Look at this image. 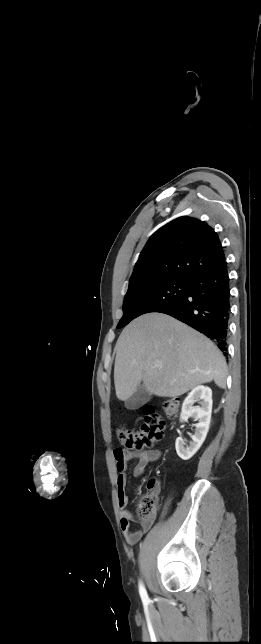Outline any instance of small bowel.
Returning <instances> with one entry per match:
<instances>
[{"mask_svg":"<svg viewBox=\"0 0 261 644\" xmlns=\"http://www.w3.org/2000/svg\"><path fill=\"white\" fill-rule=\"evenodd\" d=\"M160 455L161 452L157 449L133 450L128 448H116L113 451V456L118 471L116 485L118 505L121 509L120 527L128 544H136L142 538V536L146 532H148L153 524V520H150L142 522V528L140 530H133L131 528V522L135 520L134 515L132 514V512L125 510V507L128 505V496L125 490L127 482L126 471L128 468V462L135 460L133 473L134 475L139 476L143 472L145 467L149 463L157 461L160 458Z\"/></svg>","mask_w":261,"mask_h":644,"instance_id":"obj_1","label":"small bowel"}]
</instances>
